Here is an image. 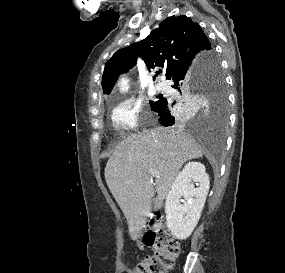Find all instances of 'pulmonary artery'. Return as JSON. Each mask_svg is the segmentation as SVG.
I'll return each mask as SVG.
<instances>
[{
    "mask_svg": "<svg viewBox=\"0 0 285 273\" xmlns=\"http://www.w3.org/2000/svg\"><path fill=\"white\" fill-rule=\"evenodd\" d=\"M168 88H169V86H168V84L165 83V82H158V83L156 84V89H157L158 91H165V90H167Z\"/></svg>",
    "mask_w": 285,
    "mask_h": 273,
    "instance_id": "obj_1",
    "label": "pulmonary artery"
}]
</instances>
